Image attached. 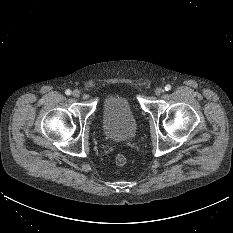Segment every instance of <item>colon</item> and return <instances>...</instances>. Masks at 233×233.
Wrapping results in <instances>:
<instances>
[{"label": "colon", "instance_id": "obj_1", "mask_svg": "<svg viewBox=\"0 0 233 233\" xmlns=\"http://www.w3.org/2000/svg\"><path fill=\"white\" fill-rule=\"evenodd\" d=\"M115 162L118 166H124L127 163V157L124 154H118L115 158Z\"/></svg>", "mask_w": 233, "mask_h": 233}]
</instances>
